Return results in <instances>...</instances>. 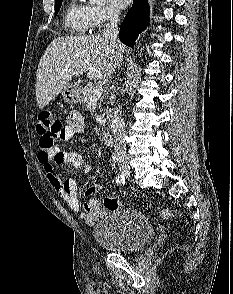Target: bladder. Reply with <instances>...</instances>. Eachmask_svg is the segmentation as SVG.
I'll use <instances>...</instances> for the list:
<instances>
[{
    "mask_svg": "<svg viewBox=\"0 0 233 294\" xmlns=\"http://www.w3.org/2000/svg\"><path fill=\"white\" fill-rule=\"evenodd\" d=\"M96 242L103 248L118 253H133L143 249L154 237L148 219L136 210L111 211L93 228Z\"/></svg>",
    "mask_w": 233,
    "mask_h": 294,
    "instance_id": "obj_1",
    "label": "bladder"
}]
</instances>
